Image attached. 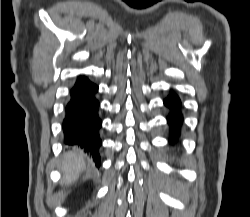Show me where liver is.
Listing matches in <instances>:
<instances>
[{
	"mask_svg": "<svg viewBox=\"0 0 250 217\" xmlns=\"http://www.w3.org/2000/svg\"><path fill=\"white\" fill-rule=\"evenodd\" d=\"M85 168L86 163L81 155L72 151L65 153L61 165V170L64 173L62 183L69 184L73 182Z\"/></svg>",
	"mask_w": 250,
	"mask_h": 217,
	"instance_id": "1",
	"label": "liver"
}]
</instances>
